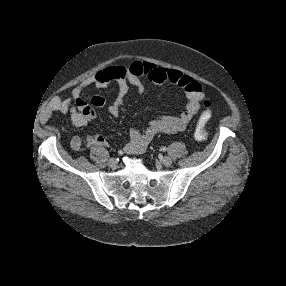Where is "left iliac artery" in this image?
<instances>
[{
  "label": "left iliac artery",
  "mask_w": 286,
  "mask_h": 286,
  "mask_svg": "<svg viewBox=\"0 0 286 286\" xmlns=\"http://www.w3.org/2000/svg\"><path fill=\"white\" fill-rule=\"evenodd\" d=\"M167 148L166 147H161V151H166Z\"/></svg>",
  "instance_id": "1"
}]
</instances>
